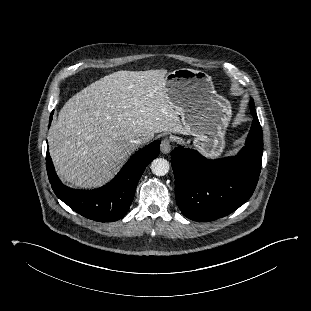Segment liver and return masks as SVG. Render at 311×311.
<instances>
[{
  "mask_svg": "<svg viewBox=\"0 0 311 311\" xmlns=\"http://www.w3.org/2000/svg\"><path fill=\"white\" fill-rule=\"evenodd\" d=\"M167 70L117 71L88 85L62 107L48 134L62 181L77 188L106 183L136 149L131 139L191 134L166 93Z\"/></svg>",
  "mask_w": 311,
  "mask_h": 311,
  "instance_id": "liver-1",
  "label": "liver"
}]
</instances>
